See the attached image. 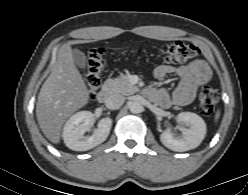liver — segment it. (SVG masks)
Masks as SVG:
<instances>
[{
  "mask_svg": "<svg viewBox=\"0 0 248 195\" xmlns=\"http://www.w3.org/2000/svg\"><path fill=\"white\" fill-rule=\"evenodd\" d=\"M72 48L64 44L57 55L51 74L42 85L36 117L46 138L54 144L61 139L64 122L75 111L85 106L89 91L74 63Z\"/></svg>",
  "mask_w": 248,
  "mask_h": 195,
  "instance_id": "6515ba94",
  "label": "liver"
}]
</instances>
